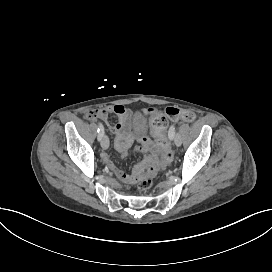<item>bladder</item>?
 Masks as SVG:
<instances>
[{
    "label": "bladder",
    "instance_id": "obj_1",
    "mask_svg": "<svg viewBox=\"0 0 272 272\" xmlns=\"http://www.w3.org/2000/svg\"><path fill=\"white\" fill-rule=\"evenodd\" d=\"M146 120L145 116L139 112L134 113L133 122L138 131L143 128V123Z\"/></svg>",
    "mask_w": 272,
    "mask_h": 272
}]
</instances>
